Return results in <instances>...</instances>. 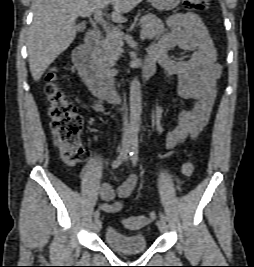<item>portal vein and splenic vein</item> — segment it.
I'll return each instance as SVG.
<instances>
[{
    "instance_id": "obj_1",
    "label": "portal vein and splenic vein",
    "mask_w": 254,
    "mask_h": 267,
    "mask_svg": "<svg viewBox=\"0 0 254 267\" xmlns=\"http://www.w3.org/2000/svg\"><path fill=\"white\" fill-rule=\"evenodd\" d=\"M94 18L97 22L102 24L103 28L105 29L107 35L111 36L112 38L120 39V34L116 33L114 31H111L110 28L107 26V23L103 19V12L101 9H98L94 13ZM141 40H144L146 38L145 34L140 35Z\"/></svg>"
}]
</instances>
